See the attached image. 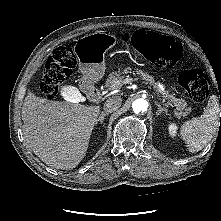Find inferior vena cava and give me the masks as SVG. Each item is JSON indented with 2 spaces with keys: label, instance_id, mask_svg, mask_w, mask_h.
I'll use <instances>...</instances> for the list:
<instances>
[{
  "label": "inferior vena cava",
  "instance_id": "1",
  "mask_svg": "<svg viewBox=\"0 0 221 221\" xmlns=\"http://www.w3.org/2000/svg\"><path fill=\"white\" fill-rule=\"evenodd\" d=\"M122 104V100L118 96H114L109 98L105 103H104V112L105 113H111L116 111Z\"/></svg>",
  "mask_w": 221,
  "mask_h": 221
}]
</instances>
